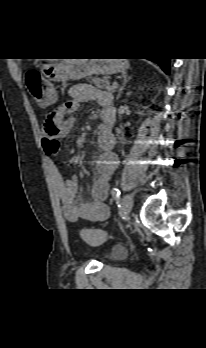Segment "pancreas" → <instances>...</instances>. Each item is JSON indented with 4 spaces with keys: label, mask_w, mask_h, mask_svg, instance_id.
Instances as JSON below:
<instances>
[{
    "label": "pancreas",
    "mask_w": 206,
    "mask_h": 348,
    "mask_svg": "<svg viewBox=\"0 0 206 348\" xmlns=\"http://www.w3.org/2000/svg\"><path fill=\"white\" fill-rule=\"evenodd\" d=\"M88 81L99 89H105L110 92H115L116 90L115 87L110 85L107 77H91Z\"/></svg>",
    "instance_id": "pancreas-1"
}]
</instances>
